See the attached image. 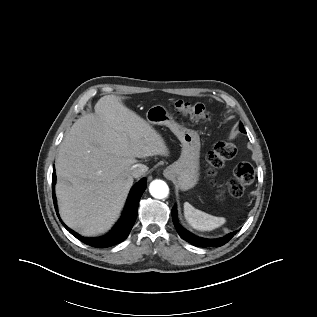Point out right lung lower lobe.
I'll return each mask as SVG.
<instances>
[{
    "instance_id": "right-lung-lower-lobe-1",
    "label": "right lung lower lobe",
    "mask_w": 317,
    "mask_h": 317,
    "mask_svg": "<svg viewBox=\"0 0 317 317\" xmlns=\"http://www.w3.org/2000/svg\"><path fill=\"white\" fill-rule=\"evenodd\" d=\"M56 183V174H55V168L53 169V176H52V192H53V200H54V206L56 212H58L57 204H56V197L54 193V186ZM146 188V179L143 178L140 180L130 191V194L127 199V203L122 215L121 220L117 223V225L105 236L99 237V238H86L82 237L73 230H71L69 227H67L62 222L63 226L76 238L81 240L83 243H86L92 247L96 248H106L113 245H116L123 240H125L137 217V210H138V204L139 200L141 198V195L143 194L144 190ZM58 215V213H57ZM59 217V215H58Z\"/></svg>"
}]
</instances>
